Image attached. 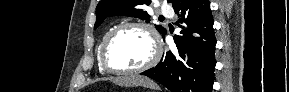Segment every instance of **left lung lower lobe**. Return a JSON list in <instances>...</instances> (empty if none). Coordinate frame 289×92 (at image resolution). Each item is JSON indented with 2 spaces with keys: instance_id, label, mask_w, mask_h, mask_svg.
<instances>
[{
  "instance_id": "left-lung-lower-lobe-1",
  "label": "left lung lower lobe",
  "mask_w": 289,
  "mask_h": 92,
  "mask_svg": "<svg viewBox=\"0 0 289 92\" xmlns=\"http://www.w3.org/2000/svg\"><path fill=\"white\" fill-rule=\"evenodd\" d=\"M183 30L174 36L176 48L159 64L141 73L171 92H211L214 82L215 45L209 0H175L172 4Z\"/></svg>"
}]
</instances>
